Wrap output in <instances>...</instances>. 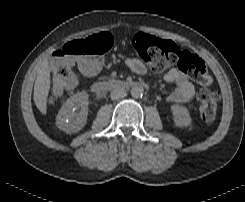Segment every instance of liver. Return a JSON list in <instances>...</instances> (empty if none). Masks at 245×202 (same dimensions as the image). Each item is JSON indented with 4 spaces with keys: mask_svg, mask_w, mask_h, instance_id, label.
<instances>
[{
    "mask_svg": "<svg viewBox=\"0 0 245 202\" xmlns=\"http://www.w3.org/2000/svg\"><path fill=\"white\" fill-rule=\"evenodd\" d=\"M50 68L47 61L38 67V75L34 85V102L42 114L47 113V97L50 91Z\"/></svg>",
    "mask_w": 245,
    "mask_h": 202,
    "instance_id": "6515ba94",
    "label": "liver"
}]
</instances>
